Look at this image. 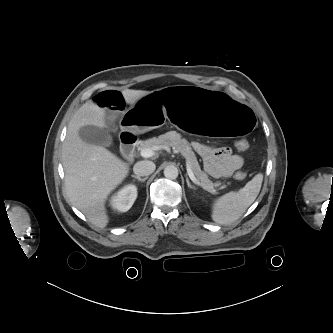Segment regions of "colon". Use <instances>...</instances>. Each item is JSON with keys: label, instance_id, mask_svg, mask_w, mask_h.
I'll use <instances>...</instances> for the list:
<instances>
[{"label": "colon", "instance_id": "5ec220e1", "mask_svg": "<svg viewBox=\"0 0 333 333\" xmlns=\"http://www.w3.org/2000/svg\"><path fill=\"white\" fill-rule=\"evenodd\" d=\"M236 147L239 151H245L248 149L249 147V143L244 140V139H241V140H238L236 142ZM235 178L237 180H244L246 178V173L243 172V171H238L236 174H235Z\"/></svg>", "mask_w": 333, "mask_h": 333}]
</instances>
